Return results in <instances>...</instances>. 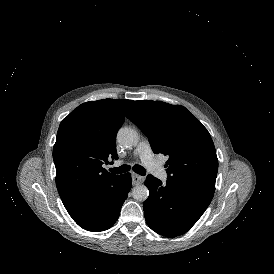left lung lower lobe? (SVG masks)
Returning <instances> with one entry per match:
<instances>
[{
    "mask_svg": "<svg viewBox=\"0 0 274 274\" xmlns=\"http://www.w3.org/2000/svg\"><path fill=\"white\" fill-rule=\"evenodd\" d=\"M145 185L150 195L143 203L145 219L155 232L175 237L187 232L210 204L214 193L168 180L162 184L152 175Z\"/></svg>",
    "mask_w": 274,
    "mask_h": 274,
    "instance_id": "left-lung-lower-lobe-1",
    "label": "left lung lower lobe"
}]
</instances>
